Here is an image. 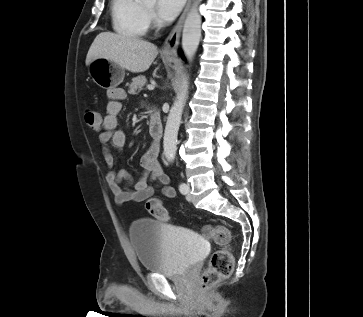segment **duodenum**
Masks as SVG:
<instances>
[{
  "label": "duodenum",
  "instance_id": "obj_1",
  "mask_svg": "<svg viewBox=\"0 0 363 317\" xmlns=\"http://www.w3.org/2000/svg\"><path fill=\"white\" fill-rule=\"evenodd\" d=\"M149 132L153 140V145L159 148L163 139V122L156 109H152L149 116Z\"/></svg>",
  "mask_w": 363,
  "mask_h": 317
}]
</instances>
